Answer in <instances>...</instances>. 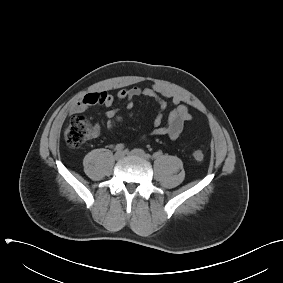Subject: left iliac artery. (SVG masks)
Here are the masks:
<instances>
[{
  "label": "left iliac artery",
  "mask_w": 283,
  "mask_h": 283,
  "mask_svg": "<svg viewBox=\"0 0 283 283\" xmlns=\"http://www.w3.org/2000/svg\"><path fill=\"white\" fill-rule=\"evenodd\" d=\"M161 155H162V152H160V151L159 152H155V153H153L152 158L156 159V158L161 157Z\"/></svg>",
  "instance_id": "obj_1"
}]
</instances>
